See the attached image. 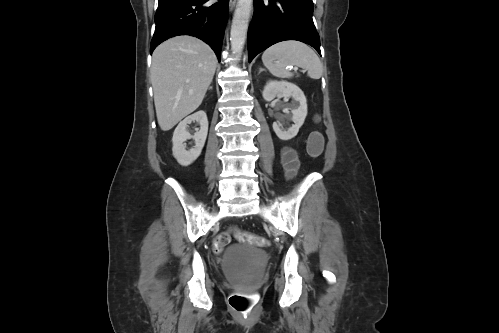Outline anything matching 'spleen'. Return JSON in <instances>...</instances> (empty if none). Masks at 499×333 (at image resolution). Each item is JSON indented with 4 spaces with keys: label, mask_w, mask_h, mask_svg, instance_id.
Listing matches in <instances>:
<instances>
[{
    "label": "spleen",
    "mask_w": 499,
    "mask_h": 333,
    "mask_svg": "<svg viewBox=\"0 0 499 333\" xmlns=\"http://www.w3.org/2000/svg\"><path fill=\"white\" fill-rule=\"evenodd\" d=\"M262 62L270 73L279 78H290L292 73L287 65H296L307 70L312 79H319L323 65L317 54L306 44L298 41H283L266 49Z\"/></svg>",
    "instance_id": "3e777b00"
}]
</instances>
